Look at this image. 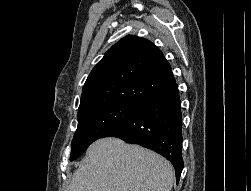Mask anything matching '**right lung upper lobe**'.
<instances>
[{
	"label": "right lung upper lobe",
	"instance_id": "right-lung-upper-lobe-1",
	"mask_svg": "<svg viewBox=\"0 0 251 191\" xmlns=\"http://www.w3.org/2000/svg\"><path fill=\"white\" fill-rule=\"evenodd\" d=\"M176 83L156 45L128 35L112 46L89 74L78 111L108 102L142 106Z\"/></svg>",
	"mask_w": 251,
	"mask_h": 191
}]
</instances>
